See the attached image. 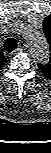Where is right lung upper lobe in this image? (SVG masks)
<instances>
[{"mask_svg": "<svg viewBox=\"0 0 51 153\" xmlns=\"http://www.w3.org/2000/svg\"><path fill=\"white\" fill-rule=\"evenodd\" d=\"M6 60L7 59L4 57V55L0 51V70H1L2 66L4 65V63L6 62Z\"/></svg>", "mask_w": 51, "mask_h": 153, "instance_id": "1", "label": "right lung upper lobe"}]
</instances>
